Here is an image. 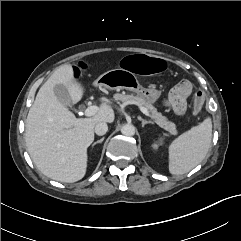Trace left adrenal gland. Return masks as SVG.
Masks as SVG:
<instances>
[{
  "instance_id": "obj_1",
  "label": "left adrenal gland",
  "mask_w": 241,
  "mask_h": 241,
  "mask_svg": "<svg viewBox=\"0 0 241 241\" xmlns=\"http://www.w3.org/2000/svg\"><path fill=\"white\" fill-rule=\"evenodd\" d=\"M138 120L142 122V127H144L146 124H154L152 121H146L141 117H138Z\"/></svg>"
}]
</instances>
